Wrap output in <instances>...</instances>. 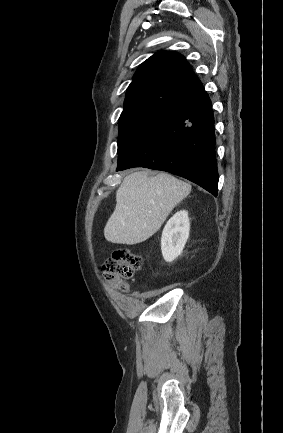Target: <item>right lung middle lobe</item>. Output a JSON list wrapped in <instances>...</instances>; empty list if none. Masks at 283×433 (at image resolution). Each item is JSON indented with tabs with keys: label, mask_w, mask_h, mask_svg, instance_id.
I'll return each instance as SVG.
<instances>
[{
	"label": "right lung middle lobe",
	"mask_w": 283,
	"mask_h": 433,
	"mask_svg": "<svg viewBox=\"0 0 283 433\" xmlns=\"http://www.w3.org/2000/svg\"><path fill=\"white\" fill-rule=\"evenodd\" d=\"M161 112L130 108L124 109L119 119L118 155L130 141Z\"/></svg>",
	"instance_id": "1"
}]
</instances>
